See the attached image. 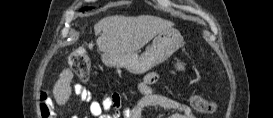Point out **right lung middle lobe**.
<instances>
[{"label": "right lung middle lobe", "instance_id": "1", "mask_svg": "<svg viewBox=\"0 0 273 118\" xmlns=\"http://www.w3.org/2000/svg\"><path fill=\"white\" fill-rule=\"evenodd\" d=\"M91 9H92L91 7H85V8L82 9V11H84V10H91Z\"/></svg>", "mask_w": 273, "mask_h": 118}]
</instances>
